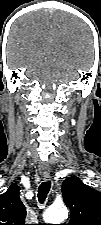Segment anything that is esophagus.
Wrapping results in <instances>:
<instances>
[{"instance_id":"esophagus-1","label":"esophagus","mask_w":101,"mask_h":225,"mask_svg":"<svg viewBox=\"0 0 101 225\" xmlns=\"http://www.w3.org/2000/svg\"><path fill=\"white\" fill-rule=\"evenodd\" d=\"M43 179L46 180V181H48L50 179V175H44L43 176Z\"/></svg>"}]
</instances>
